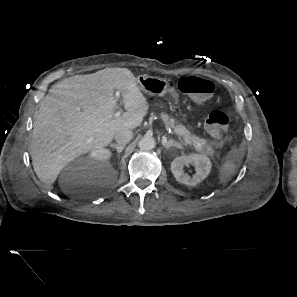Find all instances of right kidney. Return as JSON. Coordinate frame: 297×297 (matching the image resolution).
<instances>
[{"mask_svg": "<svg viewBox=\"0 0 297 297\" xmlns=\"http://www.w3.org/2000/svg\"><path fill=\"white\" fill-rule=\"evenodd\" d=\"M90 158L101 161V162H108L111 158V152L108 149H95L90 153Z\"/></svg>", "mask_w": 297, "mask_h": 297, "instance_id": "obj_1", "label": "right kidney"}]
</instances>
